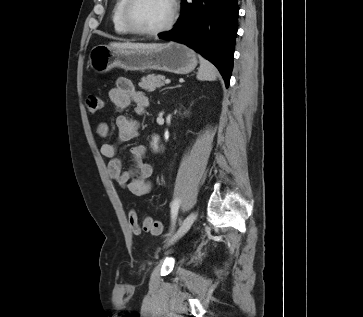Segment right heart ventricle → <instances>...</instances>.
I'll use <instances>...</instances> for the list:
<instances>
[{"label":"right heart ventricle","instance_id":"1","mask_svg":"<svg viewBox=\"0 0 363 317\" xmlns=\"http://www.w3.org/2000/svg\"><path fill=\"white\" fill-rule=\"evenodd\" d=\"M126 0H115L112 12H111V21L113 25V29L117 34L120 35H128L130 34L129 30L125 27L122 19V9Z\"/></svg>","mask_w":363,"mask_h":317}]
</instances>
